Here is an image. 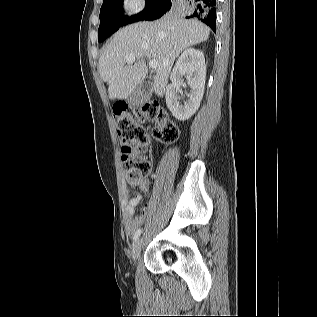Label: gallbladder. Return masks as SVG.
I'll return each instance as SVG.
<instances>
[{
	"instance_id": "bac80fb5",
	"label": "gallbladder",
	"mask_w": 317,
	"mask_h": 317,
	"mask_svg": "<svg viewBox=\"0 0 317 317\" xmlns=\"http://www.w3.org/2000/svg\"><path fill=\"white\" fill-rule=\"evenodd\" d=\"M152 83L150 81L145 82L140 86L139 92L130 97L131 103H137L142 101L146 96L151 93Z\"/></svg>"
}]
</instances>
